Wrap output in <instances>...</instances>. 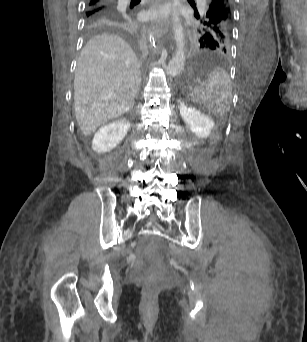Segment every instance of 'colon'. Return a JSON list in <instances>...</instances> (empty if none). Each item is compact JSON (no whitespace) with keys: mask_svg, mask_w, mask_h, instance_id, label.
I'll return each instance as SVG.
<instances>
[{"mask_svg":"<svg viewBox=\"0 0 307 342\" xmlns=\"http://www.w3.org/2000/svg\"><path fill=\"white\" fill-rule=\"evenodd\" d=\"M167 271H168L167 266H156L155 269H149L148 281H145L144 283L145 288H154L155 283H160L161 281L160 276H166Z\"/></svg>","mask_w":307,"mask_h":342,"instance_id":"colon-1","label":"colon"}]
</instances>
